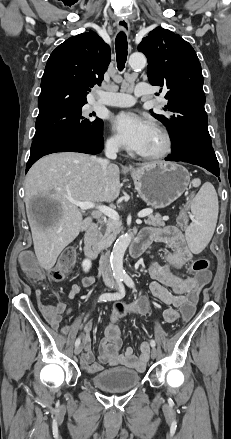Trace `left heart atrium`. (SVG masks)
<instances>
[{
  "instance_id": "obj_1",
  "label": "left heart atrium",
  "mask_w": 231,
  "mask_h": 439,
  "mask_svg": "<svg viewBox=\"0 0 231 439\" xmlns=\"http://www.w3.org/2000/svg\"><path fill=\"white\" fill-rule=\"evenodd\" d=\"M112 128L119 141L129 150L141 153L155 127L147 119L132 112H122L112 120Z\"/></svg>"
}]
</instances>
